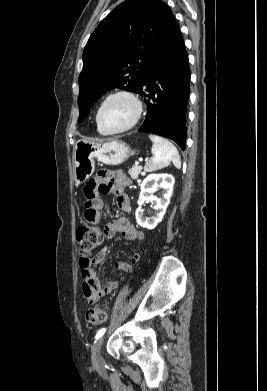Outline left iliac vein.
<instances>
[{"instance_id": "4c4485c4", "label": "left iliac vein", "mask_w": 267, "mask_h": 391, "mask_svg": "<svg viewBox=\"0 0 267 391\" xmlns=\"http://www.w3.org/2000/svg\"><path fill=\"white\" fill-rule=\"evenodd\" d=\"M103 341H104V338L101 337L92 346V364L98 370H102L104 367V361L101 356V347H102Z\"/></svg>"}]
</instances>
